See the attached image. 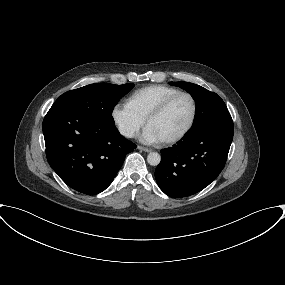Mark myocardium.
<instances>
[{"label": "myocardium", "mask_w": 285, "mask_h": 285, "mask_svg": "<svg viewBox=\"0 0 285 285\" xmlns=\"http://www.w3.org/2000/svg\"><path fill=\"white\" fill-rule=\"evenodd\" d=\"M181 96H186L190 99L191 104H192V115H191L189 123L187 124V126L184 128V130L182 132H180L178 135H176V136H174L168 140L162 141V143L166 146L174 145V144L180 142L193 129L195 122H196V119H197V115H198V104H197L195 97L190 92L179 91V92L171 95L167 99H165L162 103H160L153 111H151V113L146 118V124L148 126V124L150 123L151 120L161 116L170 107V105L177 98H179Z\"/></svg>", "instance_id": "obj_1"}]
</instances>
